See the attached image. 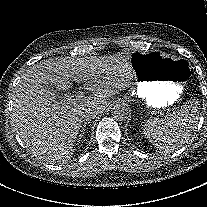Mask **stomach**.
<instances>
[{
    "mask_svg": "<svg viewBox=\"0 0 207 207\" xmlns=\"http://www.w3.org/2000/svg\"><path fill=\"white\" fill-rule=\"evenodd\" d=\"M156 51L135 53L131 57L141 82L137 97L149 108L161 109L173 105L190 78L186 61L165 58Z\"/></svg>",
    "mask_w": 207,
    "mask_h": 207,
    "instance_id": "0dacf381",
    "label": "stomach"
}]
</instances>
